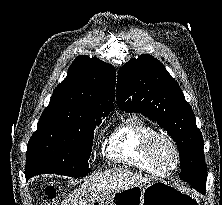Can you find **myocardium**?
<instances>
[{"mask_svg":"<svg viewBox=\"0 0 222 205\" xmlns=\"http://www.w3.org/2000/svg\"><path fill=\"white\" fill-rule=\"evenodd\" d=\"M158 141L167 142L168 144H170L173 147L174 152H175V162H174L173 166H165L159 160V158L156 154V151H155V146ZM146 151H147L148 157L151 160V162L156 167H158L160 170H162L164 173H168V172L175 170L180 163L181 153H180L179 146L173 138H171L169 135H167L165 133L156 132V131L152 132L147 137V140H146Z\"/></svg>","mask_w":222,"mask_h":205,"instance_id":"1","label":"myocardium"}]
</instances>
